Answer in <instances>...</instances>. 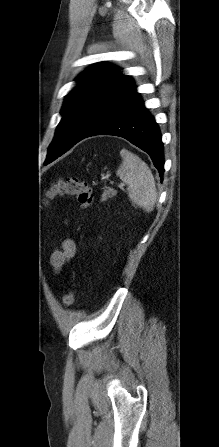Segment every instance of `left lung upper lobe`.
<instances>
[{
	"label": "left lung upper lobe",
	"mask_w": 219,
	"mask_h": 447,
	"mask_svg": "<svg viewBox=\"0 0 219 447\" xmlns=\"http://www.w3.org/2000/svg\"><path fill=\"white\" fill-rule=\"evenodd\" d=\"M78 80L66 97L46 160L84 139L134 86L129 76L108 64L95 65Z\"/></svg>",
	"instance_id": "left-lung-upper-lobe-1"
}]
</instances>
